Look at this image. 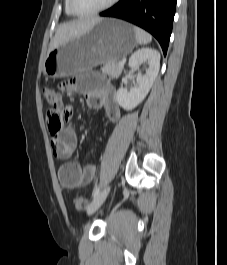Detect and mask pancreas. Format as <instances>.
Segmentation results:
<instances>
[{
  "label": "pancreas",
  "instance_id": "obj_1",
  "mask_svg": "<svg viewBox=\"0 0 227 265\" xmlns=\"http://www.w3.org/2000/svg\"><path fill=\"white\" fill-rule=\"evenodd\" d=\"M101 70L110 77L117 78L122 73L123 67H120L118 62H107Z\"/></svg>",
  "mask_w": 227,
  "mask_h": 265
}]
</instances>
